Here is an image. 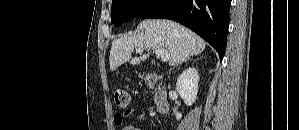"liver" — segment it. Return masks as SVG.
<instances>
[{
  "instance_id": "obj_1",
  "label": "liver",
  "mask_w": 299,
  "mask_h": 130,
  "mask_svg": "<svg viewBox=\"0 0 299 130\" xmlns=\"http://www.w3.org/2000/svg\"><path fill=\"white\" fill-rule=\"evenodd\" d=\"M166 49L170 55L169 65L176 66L190 56L205 50L206 42L190 29L170 20H144L138 30L131 35L114 39L110 51V70L114 71L122 64H140L149 54L131 58L134 48Z\"/></svg>"
}]
</instances>
